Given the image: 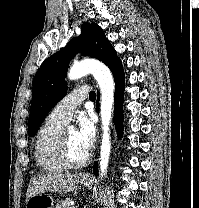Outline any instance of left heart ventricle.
I'll list each match as a JSON object with an SVG mask.
<instances>
[{"mask_svg": "<svg viewBox=\"0 0 199 208\" xmlns=\"http://www.w3.org/2000/svg\"><path fill=\"white\" fill-rule=\"evenodd\" d=\"M67 139H68V151L72 160L79 161L88 154V151H86L79 144L75 131L73 130L67 131Z\"/></svg>", "mask_w": 199, "mask_h": 208, "instance_id": "b2bd125f", "label": "left heart ventricle"}]
</instances>
